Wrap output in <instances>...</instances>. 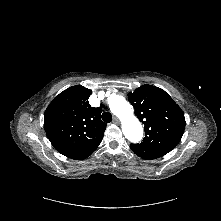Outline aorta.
Segmentation results:
<instances>
[{"label":"aorta","mask_w":221,"mask_h":221,"mask_svg":"<svg viewBox=\"0 0 221 221\" xmlns=\"http://www.w3.org/2000/svg\"><path fill=\"white\" fill-rule=\"evenodd\" d=\"M108 105L112 113L121 120L125 138L133 143L139 142L143 137V128L134 115L131 104L123 96L111 94L108 98Z\"/></svg>","instance_id":"1"}]
</instances>
